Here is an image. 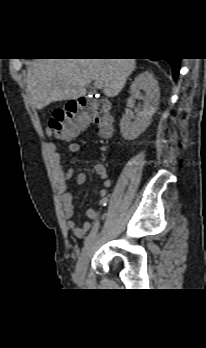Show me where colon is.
Returning a JSON list of instances; mask_svg holds the SVG:
<instances>
[{"label":"colon","mask_w":206,"mask_h":348,"mask_svg":"<svg viewBox=\"0 0 206 348\" xmlns=\"http://www.w3.org/2000/svg\"><path fill=\"white\" fill-rule=\"evenodd\" d=\"M89 124L97 125L103 136L110 134V109L105 103L81 97L53 111L49 119L50 135L56 141H69Z\"/></svg>","instance_id":"5ec220e1"}]
</instances>
